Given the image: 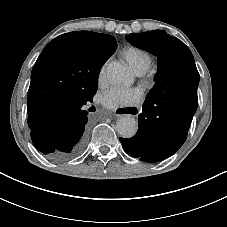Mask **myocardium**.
I'll return each instance as SVG.
<instances>
[{
	"label": "myocardium",
	"instance_id": "obj_1",
	"mask_svg": "<svg viewBox=\"0 0 227 227\" xmlns=\"http://www.w3.org/2000/svg\"><path fill=\"white\" fill-rule=\"evenodd\" d=\"M158 74V68L156 66H149L143 73L142 76L146 82H154Z\"/></svg>",
	"mask_w": 227,
	"mask_h": 227
}]
</instances>
